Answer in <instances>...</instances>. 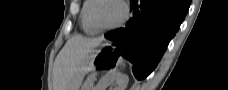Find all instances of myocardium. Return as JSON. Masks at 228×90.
I'll return each mask as SVG.
<instances>
[{
    "instance_id": "myocardium-1",
    "label": "myocardium",
    "mask_w": 228,
    "mask_h": 90,
    "mask_svg": "<svg viewBox=\"0 0 228 90\" xmlns=\"http://www.w3.org/2000/svg\"><path fill=\"white\" fill-rule=\"evenodd\" d=\"M101 1H104V0H94V4L92 5V7L90 9L89 17H90V22H91L92 26L97 31H111V30L121 27L128 18V8H127V5L125 4V2L122 0H112V1L117 2L121 6L122 16L115 24L103 27V26H100L95 19V9H96L97 4Z\"/></svg>"
}]
</instances>
